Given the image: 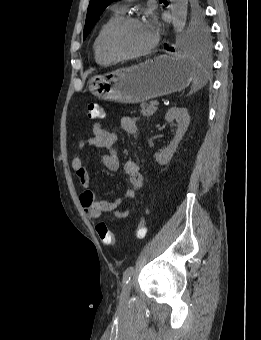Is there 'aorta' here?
Wrapping results in <instances>:
<instances>
[{"instance_id":"aorta-1","label":"aorta","mask_w":261,"mask_h":340,"mask_svg":"<svg viewBox=\"0 0 261 340\" xmlns=\"http://www.w3.org/2000/svg\"><path fill=\"white\" fill-rule=\"evenodd\" d=\"M171 13L175 32H181L185 26L188 0H171Z\"/></svg>"}]
</instances>
